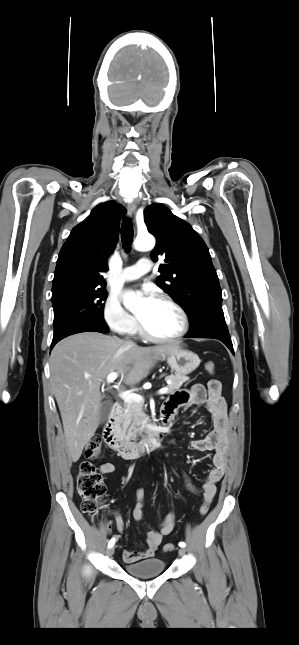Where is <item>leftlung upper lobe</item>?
Here are the masks:
<instances>
[{
    "label": "left lung upper lobe",
    "mask_w": 299,
    "mask_h": 645,
    "mask_svg": "<svg viewBox=\"0 0 299 645\" xmlns=\"http://www.w3.org/2000/svg\"><path fill=\"white\" fill-rule=\"evenodd\" d=\"M144 221L157 240L151 259L165 258L158 269V286L188 315L189 333H202L215 311L222 310L219 279L205 242L189 223L161 203L145 208Z\"/></svg>",
    "instance_id": "5c2ea615"
}]
</instances>
